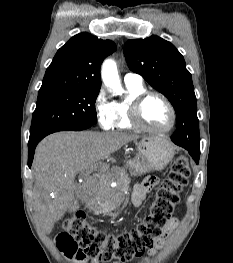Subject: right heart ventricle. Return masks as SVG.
I'll use <instances>...</instances> for the list:
<instances>
[{
    "instance_id": "right-heart-ventricle-1",
    "label": "right heart ventricle",
    "mask_w": 233,
    "mask_h": 263,
    "mask_svg": "<svg viewBox=\"0 0 233 263\" xmlns=\"http://www.w3.org/2000/svg\"><path fill=\"white\" fill-rule=\"evenodd\" d=\"M127 94L124 100L114 101L113 109L116 116L115 127L118 129H132L134 126L130 121V106L136 96L146 91L143 84L126 83ZM114 127V128H115Z\"/></svg>"
}]
</instances>
